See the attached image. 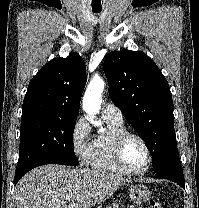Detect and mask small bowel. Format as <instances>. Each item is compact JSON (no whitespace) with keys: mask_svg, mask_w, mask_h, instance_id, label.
Returning a JSON list of instances; mask_svg holds the SVG:
<instances>
[{"mask_svg":"<svg viewBox=\"0 0 199 208\" xmlns=\"http://www.w3.org/2000/svg\"><path fill=\"white\" fill-rule=\"evenodd\" d=\"M126 208H136L135 206H128V207H126Z\"/></svg>","mask_w":199,"mask_h":208,"instance_id":"c3829d8e","label":"small bowel"}]
</instances>
